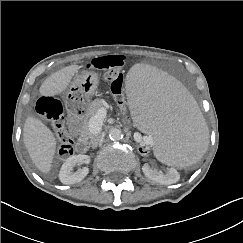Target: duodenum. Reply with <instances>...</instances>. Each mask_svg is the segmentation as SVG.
<instances>
[{
  "label": "duodenum",
  "mask_w": 243,
  "mask_h": 243,
  "mask_svg": "<svg viewBox=\"0 0 243 243\" xmlns=\"http://www.w3.org/2000/svg\"><path fill=\"white\" fill-rule=\"evenodd\" d=\"M72 132H75V127H72ZM88 145V140L86 138H81L78 140L77 147L80 151H84Z\"/></svg>",
  "instance_id": "duodenum-1"
}]
</instances>
